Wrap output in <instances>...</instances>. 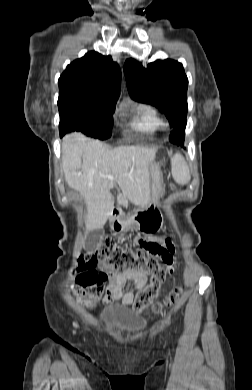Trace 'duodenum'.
Masks as SVG:
<instances>
[{
  "label": "duodenum",
  "instance_id": "obj_1",
  "mask_svg": "<svg viewBox=\"0 0 252 390\" xmlns=\"http://www.w3.org/2000/svg\"><path fill=\"white\" fill-rule=\"evenodd\" d=\"M118 212L116 210L113 211L112 213V216H111V220L114 221L116 216H117Z\"/></svg>",
  "mask_w": 252,
  "mask_h": 390
}]
</instances>
